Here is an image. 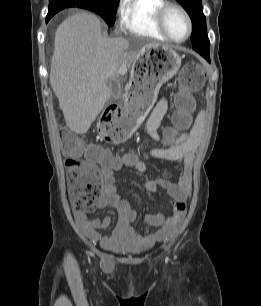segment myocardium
Listing matches in <instances>:
<instances>
[{
	"label": "myocardium",
	"mask_w": 261,
	"mask_h": 306,
	"mask_svg": "<svg viewBox=\"0 0 261 306\" xmlns=\"http://www.w3.org/2000/svg\"><path fill=\"white\" fill-rule=\"evenodd\" d=\"M171 9H175L177 11H179L183 17L185 18L186 20V23H187V34L186 36L183 38V39H180V40H177V39H174L167 27H166V24H165V17L167 15V13L171 10ZM156 23H157V26L159 28V30L161 31V33L167 38V40L173 42V43H183L185 42L186 40L189 39V37L191 36V33H192V20H191V17L189 15V13L187 12V10L181 6L180 4L178 3H175V2H167L166 4H164L157 12V15H156Z\"/></svg>",
	"instance_id": "myocardium-1"
}]
</instances>
